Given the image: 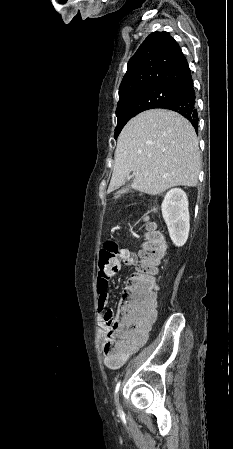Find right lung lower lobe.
<instances>
[{"label": "right lung lower lobe", "instance_id": "right-lung-lower-lobe-1", "mask_svg": "<svg viewBox=\"0 0 233 449\" xmlns=\"http://www.w3.org/2000/svg\"><path fill=\"white\" fill-rule=\"evenodd\" d=\"M180 95L164 102L157 108L169 109L178 112L185 118H187L195 130L198 129V113L196 107V96L193 88V81H189L178 87Z\"/></svg>", "mask_w": 233, "mask_h": 449}]
</instances>
